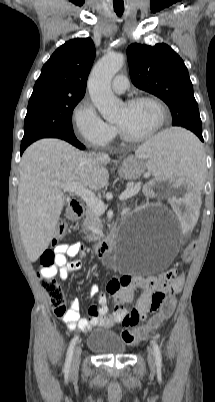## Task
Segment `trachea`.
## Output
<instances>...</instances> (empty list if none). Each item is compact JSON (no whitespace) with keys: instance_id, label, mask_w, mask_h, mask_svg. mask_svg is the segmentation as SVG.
Returning <instances> with one entry per match:
<instances>
[{"instance_id":"3493384b","label":"trachea","mask_w":215,"mask_h":402,"mask_svg":"<svg viewBox=\"0 0 215 402\" xmlns=\"http://www.w3.org/2000/svg\"><path fill=\"white\" fill-rule=\"evenodd\" d=\"M115 12L118 16H122L124 9H115Z\"/></svg>"}]
</instances>
